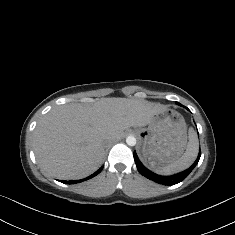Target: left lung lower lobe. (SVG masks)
Wrapping results in <instances>:
<instances>
[{"instance_id": "1", "label": "left lung lower lobe", "mask_w": 235, "mask_h": 235, "mask_svg": "<svg viewBox=\"0 0 235 235\" xmlns=\"http://www.w3.org/2000/svg\"><path fill=\"white\" fill-rule=\"evenodd\" d=\"M188 109V108H186ZM201 156V152H199L198 158L194 162V164L186 169L183 172H180L178 174L172 175V176H161L153 173L152 171L148 170L138 159L136 153L134 152V160L137 166L138 171L140 172L141 175L145 176L146 178L153 180L156 183L163 184V185H174L177 184L181 181H183L190 173L191 171L195 168V166L198 164L199 159Z\"/></svg>"}]
</instances>
